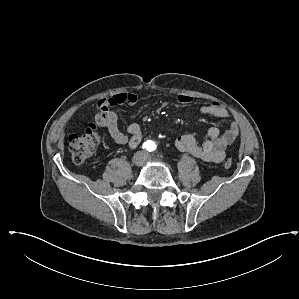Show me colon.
I'll return each mask as SVG.
<instances>
[{"instance_id": "1", "label": "colon", "mask_w": 299, "mask_h": 299, "mask_svg": "<svg viewBox=\"0 0 299 299\" xmlns=\"http://www.w3.org/2000/svg\"><path fill=\"white\" fill-rule=\"evenodd\" d=\"M100 141V135L96 124H90L89 128L81 134H72L69 137V148L72 161L76 165L84 163L94 152ZM232 159L228 158L224 162L226 168L232 166Z\"/></svg>"}]
</instances>
